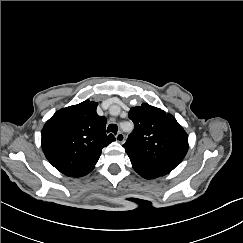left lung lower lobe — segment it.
I'll list each match as a JSON object with an SVG mask.
<instances>
[{"instance_id":"left-lung-lower-lobe-1","label":"left lung lower lobe","mask_w":243,"mask_h":243,"mask_svg":"<svg viewBox=\"0 0 243 243\" xmlns=\"http://www.w3.org/2000/svg\"><path fill=\"white\" fill-rule=\"evenodd\" d=\"M135 171L146 179H154L159 176H164L171 172L175 167L154 164L145 161H141L134 157H129Z\"/></svg>"}]
</instances>
